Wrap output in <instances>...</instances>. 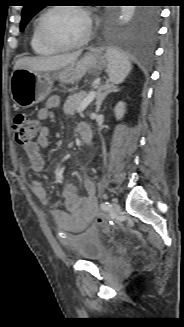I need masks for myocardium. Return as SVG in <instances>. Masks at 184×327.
Returning <instances> with one entry per match:
<instances>
[{"label": "myocardium", "mask_w": 184, "mask_h": 327, "mask_svg": "<svg viewBox=\"0 0 184 327\" xmlns=\"http://www.w3.org/2000/svg\"><path fill=\"white\" fill-rule=\"evenodd\" d=\"M59 9H73L75 11L80 12L84 18L86 19L87 22V31L85 35L78 41L73 42V43H61L57 40H55L51 35L49 34L47 27H46V22L48 16L56 10ZM38 31L39 35L42 39V41L48 45L49 47L57 50V51H65V50H71V49H76L79 48L83 45H85L91 38L92 36V31H93V26H92V20L90 17V14L88 11L80 6V5H53L48 7L40 16L39 22H38Z\"/></svg>", "instance_id": "myocardium-1"}]
</instances>
